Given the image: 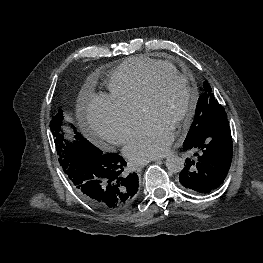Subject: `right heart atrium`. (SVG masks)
I'll use <instances>...</instances> for the list:
<instances>
[{"label": "right heart atrium", "mask_w": 263, "mask_h": 263, "mask_svg": "<svg viewBox=\"0 0 263 263\" xmlns=\"http://www.w3.org/2000/svg\"><path fill=\"white\" fill-rule=\"evenodd\" d=\"M140 118L138 108L124 104L108 93L97 94L87 106L89 128L102 142L124 144Z\"/></svg>", "instance_id": "obj_1"}]
</instances>
